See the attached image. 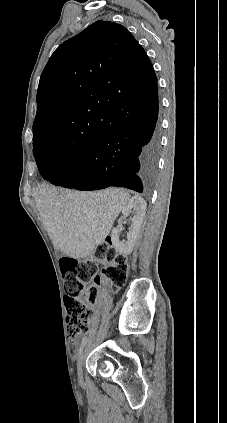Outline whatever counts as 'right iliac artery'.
Wrapping results in <instances>:
<instances>
[{"label": "right iliac artery", "instance_id": "82829eb1", "mask_svg": "<svg viewBox=\"0 0 227 423\" xmlns=\"http://www.w3.org/2000/svg\"><path fill=\"white\" fill-rule=\"evenodd\" d=\"M86 343H87V337H83V338H82V341H81V346H80V349H79V354H78V355H80V354H81L82 349H83V347L86 345Z\"/></svg>", "mask_w": 227, "mask_h": 423}]
</instances>
